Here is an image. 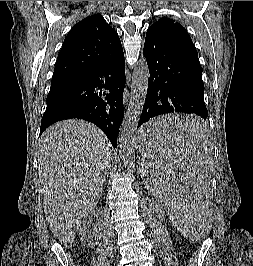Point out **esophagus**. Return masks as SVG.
<instances>
[{"mask_svg": "<svg viewBox=\"0 0 253 266\" xmlns=\"http://www.w3.org/2000/svg\"><path fill=\"white\" fill-rule=\"evenodd\" d=\"M129 91L125 90L124 92V104L127 105L128 104V100H129Z\"/></svg>", "mask_w": 253, "mask_h": 266, "instance_id": "34e87169", "label": "esophagus"}]
</instances>
